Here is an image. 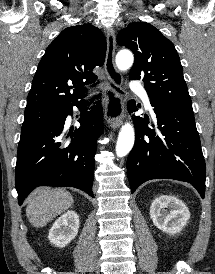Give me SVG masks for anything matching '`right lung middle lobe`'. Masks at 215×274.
I'll use <instances>...</instances> for the list:
<instances>
[{
	"mask_svg": "<svg viewBox=\"0 0 215 274\" xmlns=\"http://www.w3.org/2000/svg\"><path fill=\"white\" fill-rule=\"evenodd\" d=\"M61 109H38L25 111L21 136L56 118Z\"/></svg>",
	"mask_w": 215,
	"mask_h": 274,
	"instance_id": "right-lung-middle-lobe-1",
	"label": "right lung middle lobe"
}]
</instances>
